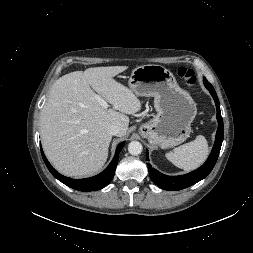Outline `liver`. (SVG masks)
<instances>
[{
  "label": "liver",
  "mask_w": 253,
  "mask_h": 253,
  "mask_svg": "<svg viewBox=\"0 0 253 253\" xmlns=\"http://www.w3.org/2000/svg\"><path fill=\"white\" fill-rule=\"evenodd\" d=\"M127 66L94 67L56 80L40 114L43 150L56 170L82 177L99 171L108 157L111 125L128 130L129 117L141 110L134 92L113 77ZM113 109L103 108L96 93Z\"/></svg>",
  "instance_id": "obj_1"
}]
</instances>
